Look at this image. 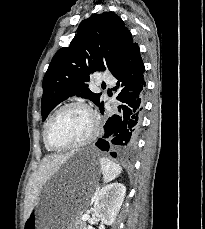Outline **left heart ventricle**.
<instances>
[{
  "label": "left heart ventricle",
  "instance_id": "b2bd125f",
  "mask_svg": "<svg viewBox=\"0 0 205 229\" xmlns=\"http://www.w3.org/2000/svg\"><path fill=\"white\" fill-rule=\"evenodd\" d=\"M92 129V118L83 109L68 108L55 121L50 139L57 146L76 143L86 138Z\"/></svg>",
  "mask_w": 205,
  "mask_h": 229
}]
</instances>
